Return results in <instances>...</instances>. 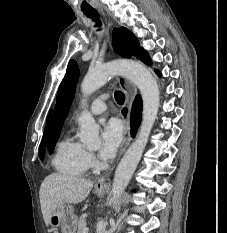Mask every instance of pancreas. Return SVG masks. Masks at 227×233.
<instances>
[{
	"label": "pancreas",
	"mask_w": 227,
	"mask_h": 233,
	"mask_svg": "<svg viewBox=\"0 0 227 233\" xmlns=\"http://www.w3.org/2000/svg\"><path fill=\"white\" fill-rule=\"evenodd\" d=\"M85 228H86L85 217L81 216L77 221V233H84Z\"/></svg>",
	"instance_id": "obj_1"
}]
</instances>
